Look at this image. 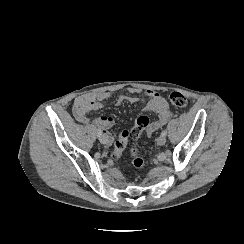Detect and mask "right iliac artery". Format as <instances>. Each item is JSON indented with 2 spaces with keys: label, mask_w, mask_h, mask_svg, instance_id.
I'll return each instance as SVG.
<instances>
[{
  "label": "right iliac artery",
  "mask_w": 244,
  "mask_h": 244,
  "mask_svg": "<svg viewBox=\"0 0 244 244\" xmlns=\"http://www.w3.org/2000/svg\"><path fill=\"white\" fill-rule=\"evenodd\" d=\"M103 132L100 128L97 130V136L100 138L102 136Z\"/></svg>",
  "instance_id": "obj_1"
}]
</instances>
